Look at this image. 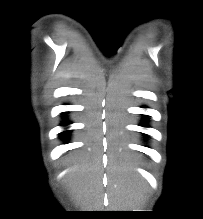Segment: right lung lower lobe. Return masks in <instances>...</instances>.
Wrapping results in <instances>:
<instances>
[{
	"label": "right lung lower lobe",
	"instance_id": "1",
	"mask_svg": "<svg viewBox=\"0 0 203 219\" xmlns=\"http://www.w3.org/2000/svg\"><path fill=\"white\" fill-rule=\"evenodd\" d=\"M67 124H69V123L68 122H64L62 125H67ZM68 133H69V131L63 132V134H62L63 138H65Z\"/></svg>",
	"mask_w": 203,
	"mask_h": 219
}]
</instances>
